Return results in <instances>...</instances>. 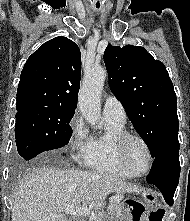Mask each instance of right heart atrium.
Wrapping results in <instances>:
<instances>
[{
	"mask_svg": "<svg viewBox=\"0 0 190 221\" xmlns=\"http://www.w3.org/2000/svg\"><path fill=\"white\" fill-rule=\"evenodd\" d=\"M69 147L73 159L85 163L91 153L92 136L80 114L75 113L70 124Z\"/></svg>",
	"mask_w": 190,
	"mask_h": 221,
	"instance_id": "d8ad5b80",
	"label": "right heart atrium"
}]
</instances>
